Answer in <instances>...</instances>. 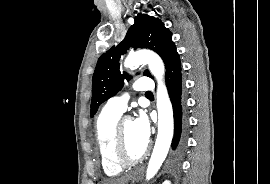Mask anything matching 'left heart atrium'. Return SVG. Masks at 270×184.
<instances>
[{
    "mask_svg": "<svg viewBox=\"0 0 270 184\" xmlns=\"http://www.w3.org/2000/svg\"><path fill=\"white\" fill-rule=\"evenodd\" d=\"M136 129L140 135V137L148 142L150 137V124L145 114L141 113L135 120H134Z\"/></svg>",
    "mask_w": 270,
    "mask_h": 184,
    "instance_id": "left-heart-atrium-1",
    "label": "left heart atrium"
}]
</instances>
